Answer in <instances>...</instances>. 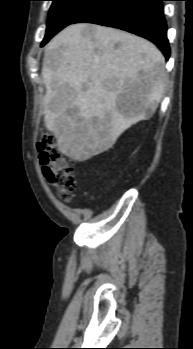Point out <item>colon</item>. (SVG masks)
<instances>
[{
	"mask_svg": "<svg viewBox=\"0 0 193 349\" xmlns=\"http://www.w3.org/2000/svg\"><path fill=\"white\" fill-rule=\"evenodd\" d=\"M37 151L45 178L63 201H70L76 187L74 168L59 152L55 136L43 134L37 143Z\"/></svg>",
	"mask_w": 193,
	"mask_h": 349,
	"instance_id": "5ec220e1",
	"label": "colon"
}]
</instances>
